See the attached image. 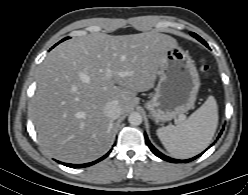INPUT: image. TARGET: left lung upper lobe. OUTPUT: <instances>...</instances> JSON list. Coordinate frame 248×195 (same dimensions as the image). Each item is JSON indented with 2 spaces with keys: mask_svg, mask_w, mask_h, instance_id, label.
Instances as JSON below:
<instances>
[{
  "mask_svg": "<svg viewBox=\"0 0 248 195\" xmlns=\"http://www.w3.org/2000/svg\"><path fill=\"white\" fill-rule=\"evenodd\" d=\"M191 35L193 37H195L197 40H199L201 43H203L204 45H207L206 42L200 36H198L197 34L191 33Z\"/></svg>",
  "mask_w": 248,
  "mask_h": 195,
  "instance_id": "5c2ea615",
  "label": "left lung upper lobe"
}]
</instances>
